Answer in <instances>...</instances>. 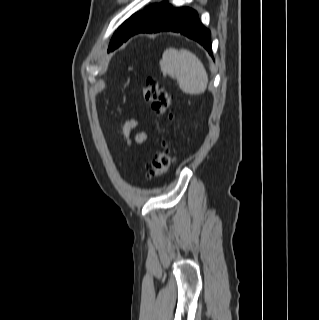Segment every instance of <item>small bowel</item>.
<instances>
[{"instance_id": "1", "label": "small bowel", "mask_w": 319, "mask_h": 320, "mask_svg": "<svg viewBox=\"0 0 319 320\" xmlns=\"http://www.w3.org/2000/svg\"><path fill=\"white\" fill-rule=\"evenodd\" d=\"M137 122L135 120H128L124 123L122 127V133L128 144H132V142H136L138 144H142L146 141L147 136L145 133L140 132L134 136V139H131V133L136 128Z\"/></svg>"}]
</instances>
